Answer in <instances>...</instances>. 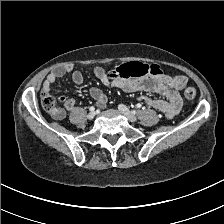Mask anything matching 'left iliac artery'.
Masks as SVG:
<instances>
[{
    "label": "left iliac artery",
    "instance_id": "left-iliac-artery-1",
    "mask_svg": "<svg viewBox=\"0 0 224 224\" xmlns=\"http://www.w3.org/2000/svg\"><path fill=\"white\" fill-rule=\"evenodd\" d=\"M136 106H137V108H140L141 107V104H137Z\"/></svg>",
    "mask_w": 224,
    "mask_h": 224
}]
</instances>
